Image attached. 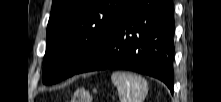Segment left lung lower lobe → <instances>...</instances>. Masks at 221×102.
I'll return each mask as SVG.
<instances>
[{
    "instance_id": "1",
    "label": "left lung lower lobe",
    "mask_w": 221,
    "mask_h": 102,
    "mask_svg": "<svg viewBox=\"0 0 221 102\" xmlns=\"http://www.w3.org/2000/svg\"><path fill=\"white\" fill-rule=\"evenodd\" d=\"M171 0H129L108 35L75 74L126 69L155 77L173 92Z\"/></svg>"
}]
</instances>
